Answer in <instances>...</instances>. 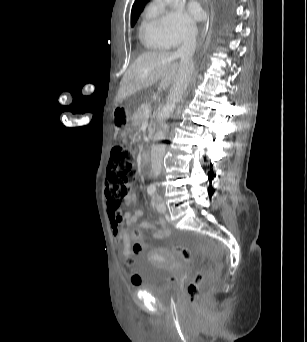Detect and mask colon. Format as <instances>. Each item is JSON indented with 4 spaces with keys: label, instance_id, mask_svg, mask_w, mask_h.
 I'll list each match as a JSON object with an SVG mask.
<instances>
[{
    "label": "colon",
    "instance_id": "obj_1",
    "mask_svg": "<svg viewBox=\"0 0 307 342\" xmlns=\"http://www.w3.org/2000/svg\"><path fill=\"white\" fill-rule=\"evenodd\" d=\"M107 186L106 195L108 201L111 202V209L115 212L120 210L123 206L124 200L132 190V182L136 175V169L133 162V154L130 148L124 142L116 143L111 150L110 164L107 170ZM107 201V200H105ZM104 201V202H105ZM141 231H132L131 249L134 256H139L140 251L144 250V245L141 243ZM174 255L177 254L185 261H191L192 251L187 246H177L172 249ZM132 263V257L127 260ZM192 281L186 282L188 294H185L186 307H201L200 295H203V288H205V281L203 278V269H192ZM133 286L141 285V276L134 274L130 278Z\"/></svg>",
    "mask_w": 307,
    "mask_h": 342
}]
</instances>
